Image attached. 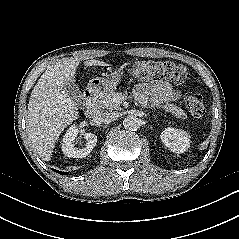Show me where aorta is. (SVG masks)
<instances>
[{
  "label": "aorta",
  "mask_w": 239,
  "mask_h": 239,
  "mask_svg": "<svg viewBox=\"0 0 239 239\" xmlns=\"http://www.w3.org/2000/svg\"><path fill=\"white\" fill-rule=\"evenodd\" d=\"M140 125V119L132 115L127 116L123 121V126L127 130L135 131L140 127Z\"/></svg>",
  "instance_id": "762f6f07"
}]
</instances>
